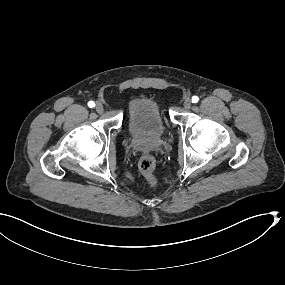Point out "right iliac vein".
Returning a JSON list of instances; mask_svg holds the SVG:
<instances>
[{
    "label": "right iliac vein",
    "mask_w": 285,
    "mask_h": 285,
    "mask_svg": "<svg viewBox=\"0 0 285 285\" xmlns=\"http://www.w3.org/2000/svg\"><path fill=\"white\" fill-rule=\"evenodd\" d=\"M96 111H97L99 114L103 113L104 107H103V105H102L101 103H97V104H96Z\"/></svg>",
    "instance_id": "1"
}]
</instances>
